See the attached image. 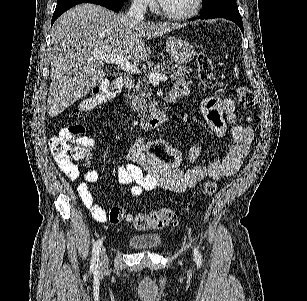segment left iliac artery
<instances>
[{"label": "left iliac artery", "mask_w": 307, "mask_h": 301, "mask_svg": "<svg viewBox=\"0 0 307 301\" xmlns=\"http://www.w3.org/2000/svg\"><path fill=\"white\" fill-rule=\"evenodd\" d=\"M193 252H194L195 261H196L197 266L201 267V265H202V256H201L200 252L198 251L197 248H194Z\"/></svg>", "instance_id": "44dca946"}]
</instances>
